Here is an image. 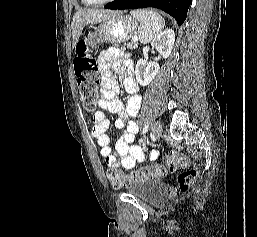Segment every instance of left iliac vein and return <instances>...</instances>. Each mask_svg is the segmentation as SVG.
Returning <instances> with one entry per match:
<instances>
[{
    "instance_id": "left-iliac-vein-1",
    "label": "left iliac vein",
    "mask_w": 257,
    "mask_h": 237,
    "mask_svg": "<svg viewBox=\"0 0 257 237\" xmlns=\"http://www.w3.org/2000/svg\"><path fill=\"white\" fill-rule=\"evenodd\" d=\"M163 125L160 121H156L152 127V134L154 138H159L162 134Z\"/></svg>"
}]
</instances>
